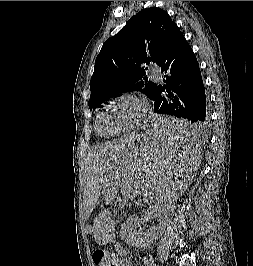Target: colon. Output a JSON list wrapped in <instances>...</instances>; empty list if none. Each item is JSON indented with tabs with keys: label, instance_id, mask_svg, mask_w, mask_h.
<instances>
[{
	"label": "colon",
	"instance_id": "5ec220e1",
	"mask_svg": "<svg viewBox=\"0 0 253 266\" xmlns=\"http://www.w3.org/2000/svg\"><path fill=\"white\" fill-rule=\"evenodd\" d=\"M93 260L96 266H119L118 258L104 250L94 252Z\"/></svg>",
	"mask_w": 253,
	"mask_h": 266
}]
</instances>
